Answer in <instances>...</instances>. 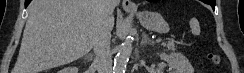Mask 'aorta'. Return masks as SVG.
Listing matches in <instances>:
<instances>
[{
    "instance_id": "aorta-1",
    "label": "aorta",
    "mask_w": 244,
    "mask_h": 73,
    "mask_svg": "<svg viewBox=\"0 0 244 73\" xmlns=\"http://www.w3.org/2000/svg\"><path fill=\"white\" fill-rule=\"evenodd\" d=\"M132 53L131 37H126L124 42L120 45L119 51L115 57L113 73H125L126 65Z\"/></svg>"
}]
</instances>
